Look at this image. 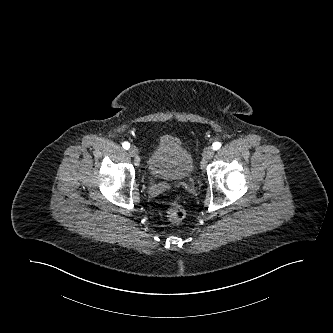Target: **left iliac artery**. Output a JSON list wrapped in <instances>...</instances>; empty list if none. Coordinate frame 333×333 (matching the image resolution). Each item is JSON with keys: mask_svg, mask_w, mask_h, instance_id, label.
Listing matches in <instances>:
<instances>
[{"mask_svg": "<svg viewBox=\"0 0 333 333\" xmlns=\"http://www.w3.org/2000/svg\"><path fill=\"white\" fill-rule=\"evenodd\" d=\"M221 147L220 142H214L212 145L213 150H218Z\"/></svg>", "mask_w": 333, "mask_h": 333, "instance_id": "left-iliac-artery-1", "label": "left iliac artery"}]
</instances>
